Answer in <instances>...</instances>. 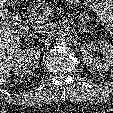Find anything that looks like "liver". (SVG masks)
Returning <instances> with one entry per match:
<instances>
[{"label": "liver", "mask_w": 113, "mask_h": 113, "mask_svg": "<svg viewBox=\"0 0 113 113\" xmlns=\"http://www.w3.org/2000/svg\"><path fill=\"white\" fill-rule=\"evenodd\" d=\"M6 1L0 0V85L5 84L10 77L18 54L20 52V37L8 20Z\"/></svg>", "instance_id": "obj_1"}]
</instances>
